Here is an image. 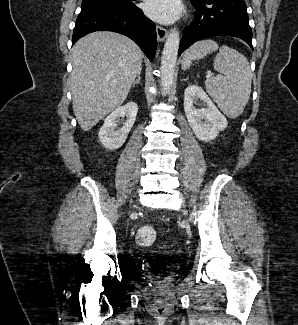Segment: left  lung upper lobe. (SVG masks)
I'll return each instance as SVG.
<instances>
[{
	"instance_id": "1",
	"label": "left lung upper lobe",
	"mask_w": 298,
	"mask_h": 325,
	"mask_svg": "<svg viewBox=\"0 0 298 325\" xmlns=\"http://www.w3.org/2000/svg\"><path fill=\"white\" fill-rule=\"evenodd\" d=\"M191 2H197V1H201V0H190Z\"/></svg>"
}]
</instances>
